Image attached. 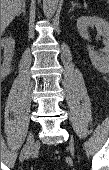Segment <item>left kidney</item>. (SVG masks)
<instances>
[{"label": "left kidney", "instance_id": "left-kidney-1", "mask_svg": "<svg viewBox=\"0 0 109 170\" xmlns=\"http://www.w3.org/2000/svg\"><path fill=\"white\" fill-rule=\"evenodd\" d=\"M93 26L104 37L106 47L103 49V54L100 55L88 45L89 58L97 70L106 73L109 69V22L97 16H82L77 20L78 31L85 40L89 38L88 27Z\"/></svg>", "mask_w": 109, "mask_h": 170}]
</instances>
